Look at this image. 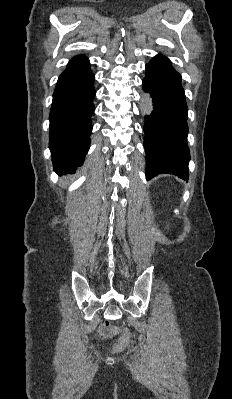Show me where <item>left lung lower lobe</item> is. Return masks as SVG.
<instances>
[{"label":"left lung lower lobe","instance_id":"1","mask_svg":"<svg viewBox=\"0 0 232 399\" xmlns=\"http://www.w3.org/2000/svg\"><path fill=\"white\" fill-rule=\"evenodd\" d=\"M145 69L142 87L153 101V111L145 116L144 124L146 178L173 174L188 180V108L181 75L161 54L147 63Z\"/></svg>","mask_w":232,"mask_h":399}]
</instances>
